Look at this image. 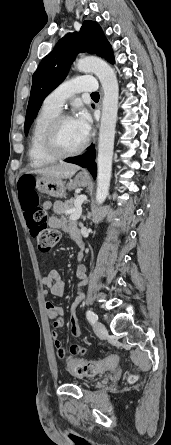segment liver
Instances as JSON below:
<instances>
[{
	"mask_svg": "<svg viewBox=\"0 0 171 445\" xmlns=\"http://www.w3.org/2000/svg\"><path fill=\"white\" fill-rule=\"evenodd\" d=\"M79 166L74 164L61 163L54 166H49L45 168L35 169L29 173L38 174L41 176L51 177V178H71L77 171Z\"/></svg>",
	"mask_w": 171,
	"mask_h": 445,
	"instance_id": "1",
	"label": "liver"
}]
</instances>
